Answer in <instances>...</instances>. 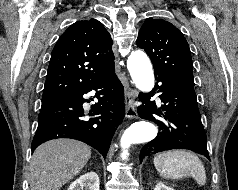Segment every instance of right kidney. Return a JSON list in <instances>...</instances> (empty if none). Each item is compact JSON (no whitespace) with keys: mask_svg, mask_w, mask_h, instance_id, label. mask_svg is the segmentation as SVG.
Wrapping results in <instances>:
<instances>
[{"mask_svg":"<svg viewBox=\"0 0 238 190\" xmlns=\"http://www.w3.org/2000/svg\"><path fill=\"white\" fill-rule=\"evenodd\" d=\"M99 185L97 173L90 171L71 183L68 190H99Z\"/></svg>","mask_w":238,"mask_h":190,"instance_id":"1","label":"right kidney"}]
</instances>
